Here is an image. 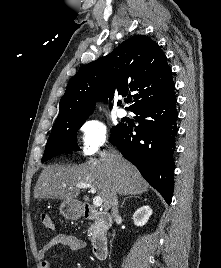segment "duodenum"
<instances>
[{
  "mask_svg": "<svg viewBox=\"0 0 221 268\" xmlns=\"http://www.w3.org/2000/svg\"><path fill=\"white\" fill-rule=\"evenodd\" d=\"M82 214L86 219L98 221L101 226V233L93 241L92 252L95 258L104 260L108 252V239L105 232L111 226L112 218L110 215L99 212L90 206H85Z\"/></svg>",
  "mask_w": 221,
  "mask_h": 268,
  "instance_id": "obj_1",
  "label": "duodenum"
}]
</instances>
